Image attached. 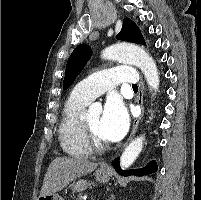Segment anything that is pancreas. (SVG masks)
Masks as SVG:
<instances>
[{
    "label": "pancreas",
    "mask_w": 201,
    "mask_h": 200,
    "mask_svg": "<svg viewBox=\"0 0 201 200\" xmlns=\"http://www.w3.org/2000/svg\"><path fill=\"white\" fill-rule=\"evenodd\" d=\"M78 200H83V198H82V197H80Z\"/></svg>",
    "instance_id": "cf45deb5"
}]
</instances>
